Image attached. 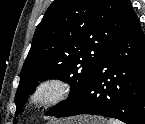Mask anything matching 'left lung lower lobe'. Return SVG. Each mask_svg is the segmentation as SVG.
Instances as JSON below:
<instances>
[{
  "instance_id": "1",
  "label": "left lung lower lobe",
  "mask_w": 145,
  "mask_h": 124,
  "mask_svg": "<svg viewBox=\"0 0 145 124\" xmlns=\"http://www.w3.org/2000/svg\"><path fill=\"white\" fill-rule=\"evenodd\" d=\"M145 39L134 13L81 94L54 115H102L145 124Z\"/></svg>"
}]
</instances>
